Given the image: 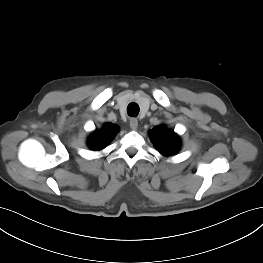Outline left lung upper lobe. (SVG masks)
<instances>
[{
	"label": "left lung upper lobe",
	"instance_id": "1",
	"mask_svg": "<svg viewBox=\"0 0 263 263\" xmlns=\"http://www.w3.org/2000/svg\"><path fill=\"white\" fill-rule=\"evenodd\" d=\"M149 136L157 150L164 156L176 154L181 147V141L173 130L166 129L164 125L154 127Z\"/></svg>",
	"mask_w": 263,
	"mask_h": 263
}]
</instances>
